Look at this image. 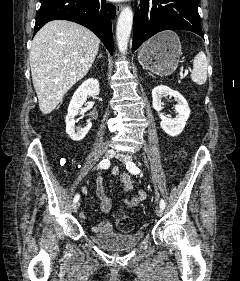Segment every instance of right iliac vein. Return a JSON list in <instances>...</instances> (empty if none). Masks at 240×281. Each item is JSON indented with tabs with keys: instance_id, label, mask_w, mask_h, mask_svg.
<instances>
[{
	"instance_id": "obj_1",
	"label": "right iliac vein",
	"mask_w": 240,
	"mask_h": 281,
	"mask_svg": "<svg viewBox=\"0 0 240 281\" xmlns=\"http://www.w3.org/2000/svg\"><path fill=\"white\" fill-rule=\"evenodd\" d=\"M114 155H115L114 149H109L105 152V158H107V159H111L112 157H114ZM79 207H80L79 202L74 203L73 206H72L73 212H77Z\"/></svg>"
}]
</instances>
